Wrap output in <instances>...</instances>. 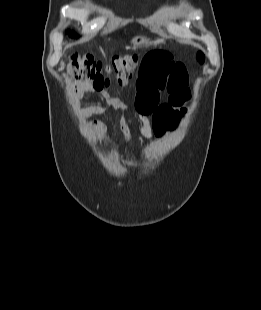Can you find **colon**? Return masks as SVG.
<instances>
[{"instance_id": "obj_1", "label": "colon", "mask_w": 261, "mask_h": 310, "mask_svg": "<svg viewBox=\"0 0 261 310\" xmlns=\"http://www.w3.org/2000/svg\"><path fill=\"white\" fill-rule=\"evenodd\" d=\"M195 59L202 64L204 54L197 52ZM137 64L138 58L134 55L115 57L109 62L96 60L91 55H74L70 57L68 73L75 81L102 91L112 84L125 86L132 79Z\"/></svg>"}]
</instances>
